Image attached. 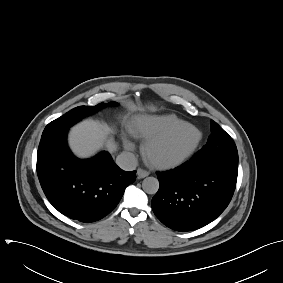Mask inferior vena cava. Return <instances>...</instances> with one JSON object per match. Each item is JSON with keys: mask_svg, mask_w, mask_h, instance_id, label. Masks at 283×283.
I'll return each instance as SVG.
<instances>
[{"mask_svg": "<svg viewBox=\"0 0 283 283\" xmlns=\"http://www.w3.org/2000/svg\"><path fill=\"white\" fill-rule=\"evenodd\" d=\"M116 164L123 170L132 171L137 167V159L133 153L123 152L117 156Z\"/></svg>", "mask_w": 283, "mask_h": 283, "instance_id": "1", "label": "inferior vena cava"}]
</instances>
